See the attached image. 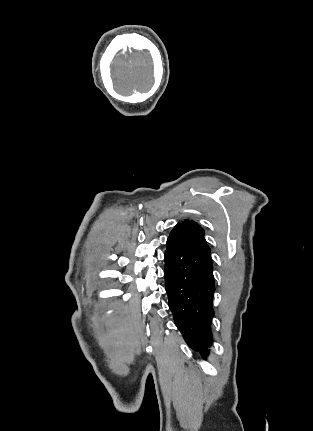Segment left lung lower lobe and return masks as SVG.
Instances as JSON below:
<instances>
[{"label":"left lung lower lobe","mask_w":313,"mask_h":431,"mask_svg":"<svg viewBox=\"0 0 313 431\" xmlns=\"http://www.w3.org/2000/svg\"><path fill=\"white\" fill-rule=\"evenodd\" d=\"M165 289L174 323L187 344L203 359L213 342L211 320L215 283L210 248L182 225L167 239Z\"/></svg>","instance_id":"1"}]
</instances>
